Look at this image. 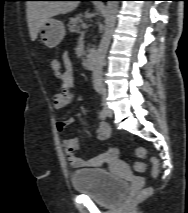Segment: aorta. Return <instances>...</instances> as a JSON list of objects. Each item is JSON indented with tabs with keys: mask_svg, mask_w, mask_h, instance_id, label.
Segmentation results:
<instances>
[{
	"mask_svg": "<svg viewBox=\"0 0 188 213\" xmlns=\"http://www.w3.org/2000/svg\"><path fill=\"white\" fill-rule=\"evenodd\" d=\"M118 8L119 1L107 2L104 33L93 59L92 80L94 89L98 93H102L103 90V65L115 27Z\"/></svg>",
	"mask_w": 188,
	"mask_h": 213,
	"instance_id": "obj_1",
	"label": "aorta"
}]
</instances>
